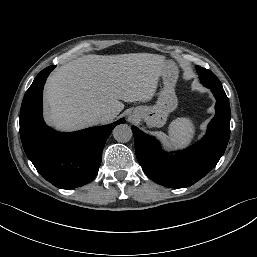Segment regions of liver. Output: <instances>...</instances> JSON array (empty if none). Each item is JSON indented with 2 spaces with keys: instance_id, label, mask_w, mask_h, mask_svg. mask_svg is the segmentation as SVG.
Listing matches in <instances>:
<instances>
[{
  "instance_id": "1",
  "label": "liver",
  "mask_w": 257,
  "mask_h": 257,
  "mask_svg": "<svg viewBox=\"0 0 257 257\" xmlns=\"http://www.w3.org/2000/svg\"><path fill=\"white\" fill-rule=\"evenodd\" d=\"M166 64L162 55H84L53 72L45 85L46 120L59 130L97 125V114L124 109V102L149 101Z\"/></svg>"
}]
</instances>
